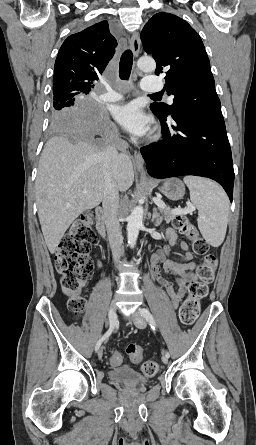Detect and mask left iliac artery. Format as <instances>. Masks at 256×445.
Masks as SVG:
<instances>
[{"label":"left iliac artery","mask_w":256,"mask_h":445,"mask_svg":"<svg viewBox=\"0 0 256 445\" xmlns=\"http://www.w3.org/2000/svg\"><path fill=\"white\" fill-rule=\"evenodd\" d=\"M141 314L146 319V321L150 324L151 328L153 330H155L156 322H155V319H154L153 315L150 313V311L148 309L143 308V309H141ZM164 354L168 358L170 357V354H169L168 351H165Z\"/></svg>","instance_id":"44dca946"}]
</instances>
